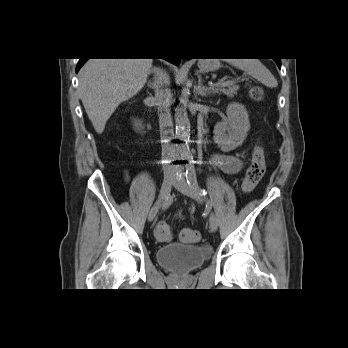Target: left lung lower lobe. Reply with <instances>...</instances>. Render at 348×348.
Returning <instances> with one entry per match:
<instances>
[{
  "mask_svg": "<svg viewBox=\"0 0 348 348\" xmlns=\"http://www.w3.org/2000/svg\"><path fill=\"white\" fill-rule=\"evenodd\" d=\"M275 62L277 63L278 67L281 68V61H280V59L275 60Z\"/></svg>",
  "mask_w": 348,
  "mask_h": 348,
  "instance_id": "1",
  "label": "left lung lower lobe"
}]
</instances>
